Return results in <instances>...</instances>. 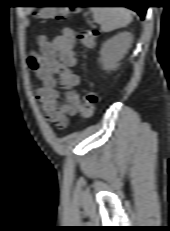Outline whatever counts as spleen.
<instances>
[{
	"label": "spleen",
	"instance_id": "3e777b00",
	"mask_svg": "<svg viewBox=\"0 0 170 231\" xmlns=\"http://www.w3.org/2000/svg\"><path fill=\"white\" fill-rule=\"evenodd\" d=\"M91 11L103 32L126 27L132 21L130 11L124 7H92Z\"/></svg>",
	"mask_w": 170,
	"mask_h": 231
}]
</instances>
